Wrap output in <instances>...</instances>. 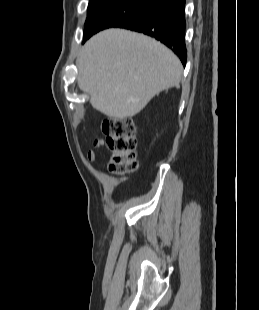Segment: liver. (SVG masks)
Returning <instances> with one entry per match:
<instances>
[{"label":"liver","mask_w":259,"mask_h":310,"mask_svg":"<svg viewBox=\"0 0 259 310\" xmlns=\"http://www.w3.org/2000/svg\"><path fill=\"white\" fill-rule=\"evenodd\" d=\"M79 88L93 108L117 119L138 114L161 91L178 87L183 66L148 36L108 29L89 39L77 57Z\"/></svg>","instance_id":"6515ba94"}]
</instances>
